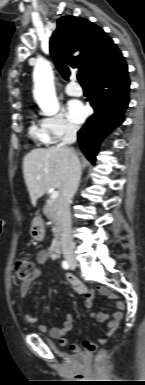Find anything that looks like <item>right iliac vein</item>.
Wrapping results in <instances>:
<instances>
[{
    "label": "right iliac vein",
    "instance_id": "right-iliac-vein-1",
    "mask_svg": "<svg viewBox=\"0 0 145 385\" xmlns=\"http://www.w3.org/2000/svg\"><path fill=\"white\" fill-rule=\"evenodd\" d=\"M67 261H68V263L70 264V266H71L72 268H76V267H77V262H76V260H75L74 258L68 257V258H67Z\"/></svg>",
    "mask_w": 145,
    "mask_h": 385
}]
</instances>
